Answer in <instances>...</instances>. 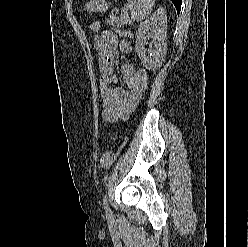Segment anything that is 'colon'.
I'll list each match as a JSON object with an SVG mask.
<instances>
[{
  "label": "colon",
  "instance_id": "colon-1",
  "mask_svg": "<svg viewBox=\"0 0 248 247\" xmlns=\"http://www.w3.org/2000/svg\"><path fill=\"white\" fill-rule=\"evenodd\" d=\"M100 28H101V24L99 21H93L91 23V30L93 32H99ZM146 87H147V73H146L145 69L140 68L137 71L135 83L133 86L134 96L137 98H140L143 95V93L145 92Z\"/></svg>",
  "mask_w": 248,
  "mask_h": 247
}]
</instances>
